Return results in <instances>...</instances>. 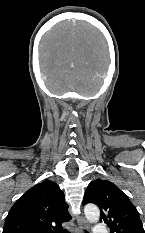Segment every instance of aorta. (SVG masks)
<instances>
[{
  "label": "aorta",
  "instance_id": "aorta-1",
  "mask_svg": "<svg viewBox=\"0 0 145 233\" xmlns=\"http://www.w3.org/2000/svg\"><path fill=\"white\" fill-rule=\"evenodd\" d=\"M84 213H85L86 219L91 223L98 222L100 218L99 208L94 204H87L84 207Z\"/></svg>",
  "mask_w": 145,
  "mask_h": 233
}]
</instances>
